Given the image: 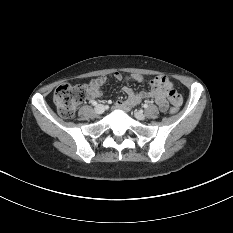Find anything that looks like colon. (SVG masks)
<instances>
[{"instance_id":"1","label":"colon","mask_w":233,"mask_h":233,"mask_svg":"<svg viewBox=\"0 0 233 233\" xmlns=\"http://www.w3.org/2000/svg\"><path fill=\"white\" fill-rule=\"evenodd\" d=\"M175 89H169V91ZM178 94V93H177ZM88 87L85 85H60L54 93V103L57 106L59 114L63 118H70L74 115L76 108L87 98ZM179 95L170 109L172 114L179 110L178 105Z\"/></svg>"}]
</instances>
